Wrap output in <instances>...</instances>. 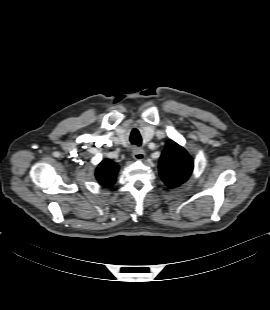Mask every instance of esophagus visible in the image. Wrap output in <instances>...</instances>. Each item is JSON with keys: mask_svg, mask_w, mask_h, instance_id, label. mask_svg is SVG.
Returning <instances> with one entry per match:
<instances>
[{"mask_svg": "<svg viewBox=\"0 0 270 310\" xmlns=\"http://www.w3.org/2000/svg\"><path fill=\"white\" fill-rule=\"evenodd\" d=\"M145 152L140 148H134L133 150V158L138 161H142L145 158Z\"/></svg>", "mask_w": 270, "mask_h": 310, "instance_id": "1", "label": "esophagus"}]
</instances>
